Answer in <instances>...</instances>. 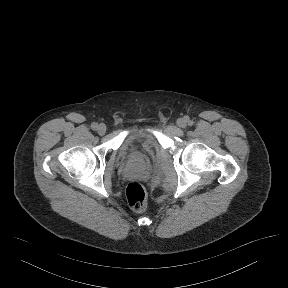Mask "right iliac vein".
Segmentation results:
<instances>
[{"mask_svg": "<svg viewBox=\"0 0 288 288\" xmlns=\"http://www.w3.org/2000/svg\"><path fill=\"white\" fill-rule=\"evenodd\" d=\"M106 130H107V128H106L105 124H99L98 125L97 132L99 135H104L106 133Z\"/></svg>", "mask_w": 288, "mask_h": 288, "instance_id": "right-iliac-vein-1", "label": "right iliac vein"}]
</instances>
